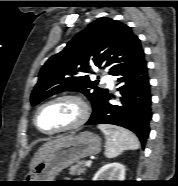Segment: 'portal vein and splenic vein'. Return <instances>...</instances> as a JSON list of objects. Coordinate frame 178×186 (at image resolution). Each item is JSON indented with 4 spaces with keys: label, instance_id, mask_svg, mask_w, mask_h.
Returning <instances> with one entry per match:
<instances>
[{
    "label": "portal vein and splenic vein",
    "instance_id": "18ae733b",
    "mask_svg": "<svg viewBox=\"0 0 178 186\" xmlns=\"http://www.w3.org/2000/svg\"><path fill=\"white\" fill-rule=\"evenodd\" d=\"M91 165H92V161L91 160H88V161L85 162V166H88L89 167Z\"/></svg>",
    "mask_w": 178,
    "mask_h": 186
}]
</instances>
